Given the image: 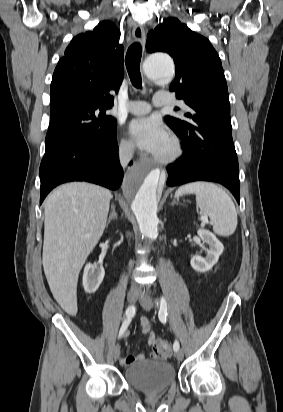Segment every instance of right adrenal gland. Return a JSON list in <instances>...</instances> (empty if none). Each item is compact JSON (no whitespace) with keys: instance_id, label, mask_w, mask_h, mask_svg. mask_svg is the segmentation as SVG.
Here are the masks:
<instances>
[{"instance_id":"2a0ac1e0","label":"right adrenal gland","mask_w":283,"mask_h":412,"mask_svg":"<svg viewBox=\"0 0 283 412\" xmlns=\"http://www.w3.org/2000/svg\"><path fill=\"white\" fill-rule=\"evenodd\" d=\"M117 218H118V215H117V213H116V209H115V206H114V204L112 203L111 204V212H110V214H109V217H108V221H107V227H108V225L111 223V221L112 220H117Z\"/></svg>"}]
</instances>
